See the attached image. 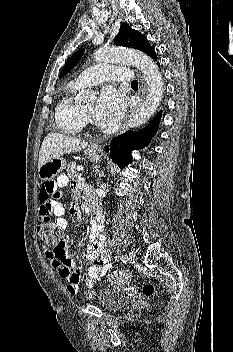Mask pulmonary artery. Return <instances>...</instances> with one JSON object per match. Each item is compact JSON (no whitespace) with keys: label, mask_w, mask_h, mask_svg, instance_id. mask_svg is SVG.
I'll return each mask as SVG.
<instances>
[{"label":"pulmonary artery","mask_w":233,"mask_h":352,"mask_svg":"<svg viewBox=\"0 0 233 352\" xmlns=\"http://www.w3.org/2000/svg\"><path fill=\"white\" fill-rule=\"evenodd\" d=\"M109 80L132 81L134 74L125 67L99 64L81 72L74 83L79 87H86Z\"/></svg>","instance_id":"pulmonary-artery-1"}]
</instances>
